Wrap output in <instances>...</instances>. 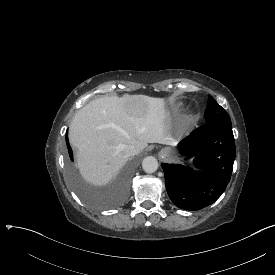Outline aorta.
Here are the masks:
<instances>
[{"label": "aorta", "mask_w": 275, "mask_h": 275, "mask_svg": "<svg viewBox=\"0 0 275 275\" xmlns=\"http://www.w3.org/2000/svg\"><path fill=\"white\" fill-rule=\"evenodd\" d=\"M142 167H143L144 171L147 173L155 172L158 168V161L153 156H146L143 159Z\"/></svg>", "instance_id": "obj_1"}]
</instances>
